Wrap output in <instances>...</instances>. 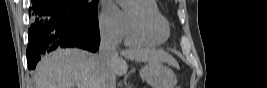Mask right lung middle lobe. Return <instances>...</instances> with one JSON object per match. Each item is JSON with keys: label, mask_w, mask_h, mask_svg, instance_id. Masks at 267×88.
Here are the masks:
<instances>
[{"label": "right lung middle lobe", "mask_w": 267, "mask_h": 88, "mask_svg": "<svg viewBox=\"0 0 267 88\" xmlns=\"http://www.w3.org/2000/svg\"><path fill=\"white\" fill-rule=\"evenodd\" d=\"M66 5L75 10L77 13L86 17L97 18L98 0H62Z\"/></svg>", "instance_id": "obj_1"}]
</instances>
